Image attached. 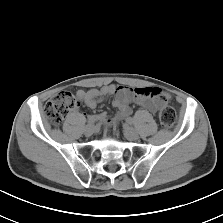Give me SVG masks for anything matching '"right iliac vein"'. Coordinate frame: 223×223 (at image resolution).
Segmentation results:
<instances>
[{"instance_id":"63e3f726","label":"right iliac vein","mask_w":223,"mask_h":223,"mask_svg":"<svg viewBox=\"0 0 223 223\" xmlns=\"http://www.w3.org/2000/svg\"><path fill=\"white\" fill-rule=\"evenodd\" d=\"M95 132V127L93 124L87 125L84 129V133L87 136H91Z\"/></svg>"}]
</instances>
